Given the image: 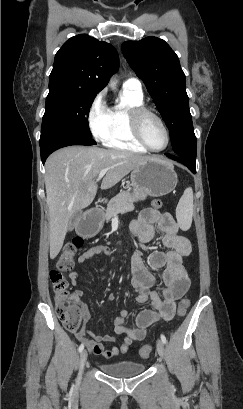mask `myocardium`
Listing matches in <instances>:
<instances>
[{"label": "myocardium", "mask_w": 243, "mask_h": 409, "mask_svg": "<svg viewBox=\"0 0 243 409\" xmlns=\"http://www.w3.org/2000/svg\"><path fill=\"white\" fill-rule=\"evenodd\" d=\"M146 116H152L155 118L163 127L164 132L166 134V144L164 147L160 149H155L151 147L147 141L145 140L142 132V121ZM129 124H130V129L131 132L134 136V138L138 141L139 144H141L144 148H146L149 151L152 152H162L166 150L170 144V131L169 128L164 121V119L154 112L153 110L145 107V106H138L134 107L129 111Z\"/></svg>", "instance_id": "f54148a6"}]
</instances>
